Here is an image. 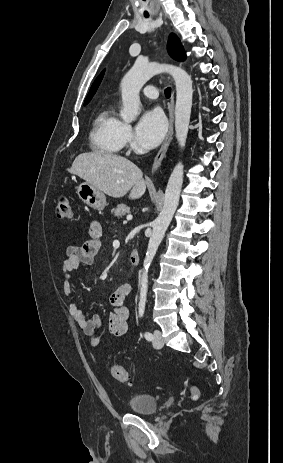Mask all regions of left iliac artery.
I'll list each match as a JSON object with an SVG mask.
<instances>
[{
  "label": "left iliac artery",
  "instance_id": "44dca946",
  "mask_svg": "<svg viewBox=\"0 0 283 463\" xmlns=\"http://www.w3.org/2000/svg\"><path fill=\"white\" fill-rule=\"evenodd\" d=\"M145 304H146V300L141 299L139 302V317H143L144 310H145ZM144 337L148 341H151L153 339V335L150 332H145Z\"/></svg>",
  "mask_w": 283,
  "mask_h": 463
}]
</instances>
